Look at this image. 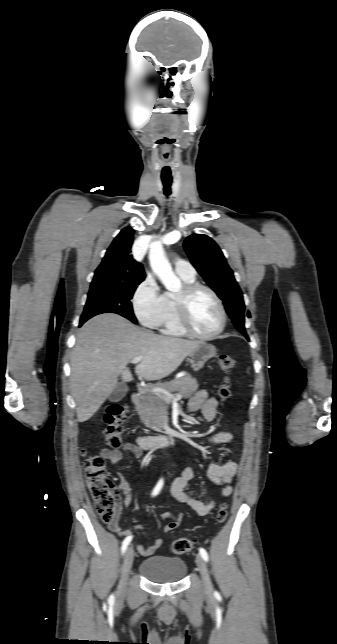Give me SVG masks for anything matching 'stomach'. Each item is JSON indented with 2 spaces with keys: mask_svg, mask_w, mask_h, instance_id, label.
Here are the masks:
<instances>
[{
  "mask_svg": "<svg viewBox=\"0 0 337 644\" xmlns=\"http://www.w3.org/2000/svg\"><path fill=\"white\" fill-rule=\"evenodd\" d=\"M215 355V346L206 342H201L198 348L189 355L188 361L193 369L199 370L209 359H211Z\"/></svg>",
  "mask_w": 337,
  "mask_h": 644,
  "instance_id": "1",
  "label": "stomach"
}]
</instances>
